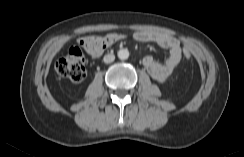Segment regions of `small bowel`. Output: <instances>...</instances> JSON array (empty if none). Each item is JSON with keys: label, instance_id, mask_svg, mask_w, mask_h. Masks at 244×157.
I'll list each match as a JSON object with an SVG mask.
<instances>
[{"label": "small bowel", "instance_id": "obj_1", "mask_svg": "<svg viewBox=\"0 0 244 157\" xmlns=\"http://www.w3.org/2000/svg\"><path fill=\"white\" fill-rule=\"evenodd\" d=\"M118 41L124 38L123 34H117ZM138 42L155 43L159 47L168 50L169 57L164 62L155 60L152 56H145L143 64L153 79L165 82L179 65L182 58V48L179 41L165 33L155 31H139L133 34ZM79 44L93 57H99L107 48L98 47L93 43V36H84L79 39Z\"/></svg>", "mask_w": 244, "mask_h": 157}]
</instances>
